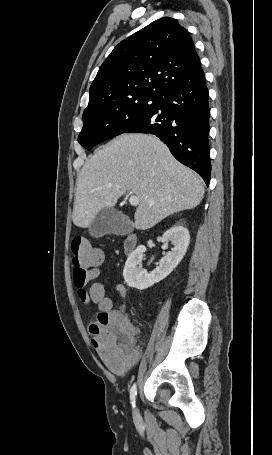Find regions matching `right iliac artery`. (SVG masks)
<instances>
[{
  "mask_svg": "<svg viewBox=\"0 0 272 455\" xmlns=\"http://www.w3.org/2000/svg\"><path fill=\"white\" fill-rule=\"evenodd\" d=\"M137 395V390H136V385L134 384L130 390V399H131V404L133 407L135 406V399Z\"/></svg>",
  "mask_w": 272,
  "mask_h": 455,
  "instance_id": "right-iliac-artery-1",
  "label": "right iliac artery"
}]
</instances>
